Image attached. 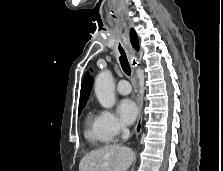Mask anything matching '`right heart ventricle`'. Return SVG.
Masks as SVG:
<instances>
[{"label": "right heart ventricle", "mask_w": 223, "mask_h": 171, "mask_svg": "<svg viewBox=\"0 0 223 171\" xmlns=\"http://www.w3.org/2000/svg\"><path fill=\"white\" fill-rule=\"evenodd\" d=\"M85 137L94 145H102L108 142L99 126L98 116L89 112L85 118Z\"/></svg>", "instance_id": "e07e8e85"}]
</instances>
